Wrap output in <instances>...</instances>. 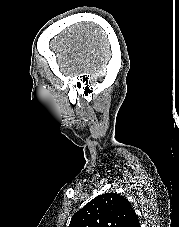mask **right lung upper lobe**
<instances>
[{
    "label": "right lung upper lobe",
    "instance_id": "cb5924a9",
    "mask_svg": "<svg viewBox=\"0 0 179 227\" xmlns=\"http://www.w3.org/2000/svg\"><path fill=\"white\" fill-rule=\"evenodd\" d=\"M69 227H140V223L126 198L105 193L76 212Z\"/></svg>",
    "mask_w": 179,
    "mask_h": 227
}]
</instances>
